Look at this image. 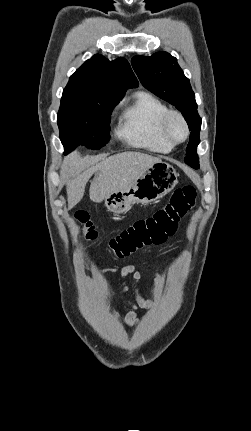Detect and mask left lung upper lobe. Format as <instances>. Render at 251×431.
I'll list each match as a JSON object with an SVG mask.
<instances>
[{"instance_id": "5c2ea615", "label": "left lung upper lobe", "mask_w": 251, "mask_h": 431, "mask_svg": "<svg viewBox=\"0 0 251 431\" xmlns=\"http://www.w3.org/2000/svg\"><path fill=\"white\" fill-rule=\"evenodd\" d=\"M131 63L141 83L149 91L174 105L183 114L191 130L184 161L198 168L196 149L200 142L201 118L189 79L184 76L177 59L167 52H157L149 57L134 56Z\"/></svg>"}]
</instances>
